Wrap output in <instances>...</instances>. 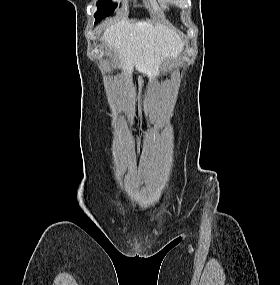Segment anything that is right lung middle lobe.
<instances>
[{"label": "right lung middle lobe", "mask_w": 280, "mask_h": 285, "mask_svg": "<svg viewBox=\"0 0 280 285\" xmlns=\"http://www.w3.org/2000/svg\"><path fill=\"white\" fill-rule=\"evenodd\" d=\"M98 11L94 14L95 23L100 22L105 17L114 13L116 4H112L111 0H99L97 3Z\"/></svg>", "instance_id": "obj_1"}]
</instances>
